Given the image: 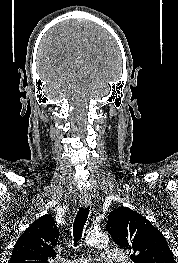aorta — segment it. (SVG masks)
<instances>
[{"mask_svg": "<svg viewBox=\"0 0 178 263\" xmlns=\"http://www.w3.org/2000/svg\"><path fill=\"white\" fill-rule=\"evenodd\" d=\"M86 242L97 248H106L109 245V237L101 232H90L86 236Z\"/></svg>", "mask_w": 178, "mask_h": 263, "instance_id": "aorta-1", "label": "aorta"}]
</instances>
